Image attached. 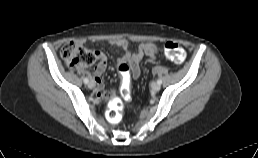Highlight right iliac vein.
Here are the masks:
<instances>
[{
	"mask_svg": "<svg viewBox=\"0 0 258 158\" xmlns=\"http://www.w3.org/2000/svg\"><path fill=\"white\" fill-rule=\"evenodd\" d=\"M88 87H89L90 89L94 88V87H95L94 82H93V81H90V82L88 83Z\"/></svg>",
	"mask_w": 258,
	"mask_h": 158,
	"instance_id": "1",
	"label": "right iliac vein"
}]
</instances>
